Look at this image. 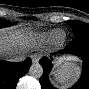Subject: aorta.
Here are the masks:
<instances>
[{
    "mask_svg": "<svg viewBox=\"0 0 89 89\" xmlns=\"http://www.w3.org/2000/svg\"><path fill=\"white\" fill-rule=\"evenodd\" d=\"M29 74L34 78H40L43 74V68L39 63L33 64L29 69Z\"/></svg>",
    "mask_w": 89,
    "mask_h": 89,
    "instance_id": "1",
    "label": "aorta"
}]
</instances>
